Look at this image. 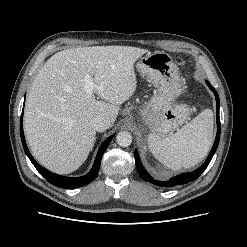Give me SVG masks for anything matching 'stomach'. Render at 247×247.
<instances>
[{"label":"stomach","mask_w":247,"mask_h":247,"mask_svg":"<svg viewBox=\"0 0 247 247\" xmlns=\"http://www.w3.org/2000/svg\"><path fill=\"white\" fill-rule=\"evenodd\" d=\"M136 67L156 88L152 98L138 109L137 126L143 132L148 129L150 134L166 136L188 118L189 110L176 102L184 91V82L172 57L164 51L146 54Z\"/></svg>","instance_id":"stomach-1"}]
</instances>
